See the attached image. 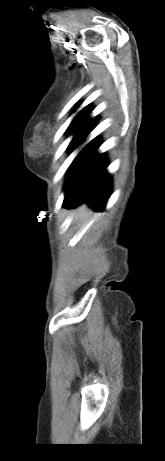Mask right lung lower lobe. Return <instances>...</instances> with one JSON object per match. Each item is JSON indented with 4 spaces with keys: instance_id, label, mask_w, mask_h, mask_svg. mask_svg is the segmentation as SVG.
<instances>
[{
    "instance_id": "obj_1",
    "label": "right lung lower lobe",
    "mask_w": 165,
    "mask_h": 461,
    "mask_svg": "<svg viewBox=\"0 0 165 461\" xmlns=\"http://www.w3.org/2000/svg\"><path fill=\"white\" fill-rule=\"evenodd\" d=\"M99 139H94L70 167L65 184V208L87 203L96 210L105 208L111 194L112 179L107 172L104 154L97 153Z\"/></svg>"
}]
</instances>
